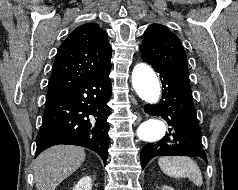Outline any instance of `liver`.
I'll use <instances>...</instances> for the list:
<instances>
[{
	"label": "liver",
	"instance_id": "obj_1",
	"mask_svg": "<svg viewBox=\"0 0 238 190\" xmlns=\"http://www.w3.org/2000/svg\"><path fill=\"white\" fill-rule=\"evenodd\" d=\"M85 151L72 145H57L43 151L34 162L37 190H55L56 187L84 162Z\"/></svg>",
	"mask_w": 238,
	"mask_h": 190
}]
</instances>
